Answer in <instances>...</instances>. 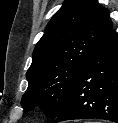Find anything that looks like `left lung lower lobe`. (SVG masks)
<instances>
[{
	"label": "left lung lower lobe",
	"mask_w": 118,
	"mask_h": 123,
	"mask_svg": "<svg viewBox=\"0 0 118 123\" xmlns=\"http://www.w3.org/2000/svg\"><path fill=\"white\" fill-rule=\"evenodd\" d=\"M85 118L118 123V36L113 29L82 68L55 123Z\"/></svg>",
	"instance_id": "left-lung-lower-lobe-1"
}]
</instances>
